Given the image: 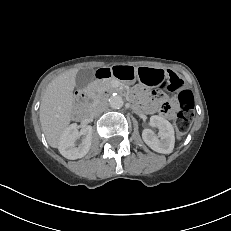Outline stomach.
Here are the masks:
<instances>
[{
    "mask_svg": "<svg viewBox=\"0 0 231 231\" xmlns=\"http://www.w3.org/2000/svg\"><path fill=\"white\" fill-rule=\"evenodd\" d=\"M112 72L126 82L131 83L138 78L148 86L161 83L164 77L162 69L135 67L128 64L115 65Z\"/></svg>",
    "mask_w": 231,
    "mask_h": 231,
    "instance_id": "obj_1",
    "label": "stomach"
}]
</instances>
